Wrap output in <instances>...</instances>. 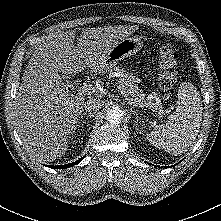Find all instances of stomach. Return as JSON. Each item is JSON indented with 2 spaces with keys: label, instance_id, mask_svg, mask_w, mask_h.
<instances>
[{
  "label": "stomach",
  "instance_id": "stomach-1",
  "mask_svg": "<svg viewBox=\"0 0 221 221\" xmlns=\"http://www.w3.org/2000/svg\"><path fill=\"white\" fill-rule=\"evenodd\" d=\"M143 42L138 38L120 40L93 68L97 72H110L119 61L128 58L141 50Z\"/></svg>",
  "mask_w": 221,
  "mask_h": 221
}]
</instances>
